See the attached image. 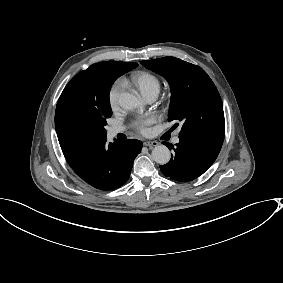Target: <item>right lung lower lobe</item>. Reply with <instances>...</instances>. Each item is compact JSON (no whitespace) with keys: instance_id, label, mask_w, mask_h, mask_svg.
Listing matches in <instances>:
<instances>
[{"instance_id":"obj_1","label":"right lung lower lobe","mask_w":283,"mask_h":283,"mask_svg":"<svg viewBox=\"0 0 283 283\" xmlns=\"http://www.w3.org/2000/svg\"><path fill=\"white\" fill-rule=\"evenodd\" d=\"M142 146V142L136 139L109 143L73 170L97 189L119 188L129 179L134 159L140 153Z\"/></svg>"}]
</instances>
